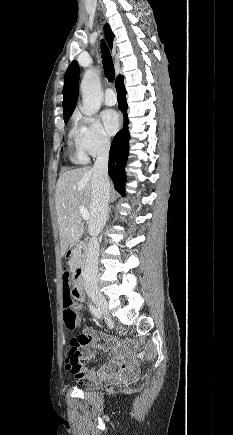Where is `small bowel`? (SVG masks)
I'll return each instance as SVG.
<instances>
[{"mask_svg": "<svg viewBox=\"0 0 233 435\" xmlns=\"http://www.w3.org/2000/svg\"><path fill=\"white\" fill-rule=\"evenodd\" d=\"M62 290L64 294H71L70 282L62 281ZM78 309L80 307L78 306ZM81 336L84 340L80 343L78 349L81 353L82 360H91L94 357V349L104 351L109 362L100 369H88L83 362L79 364H71L67 360L64 367L71 372L79 384H93L102 380L106 373H118L122 379L134 378L140 371V364L136 361L122 362L121 359L125 353L121 350L118 343L113 341L109 336L100 335L96 332H89L88 327L83 324L81 326ZM129 348H133L130 345Z\"/></svg>", "mask_w": 233, "mask_h": 435, "instance_id": "c3829d8e", "label": "small bowel"}]
</instances>
